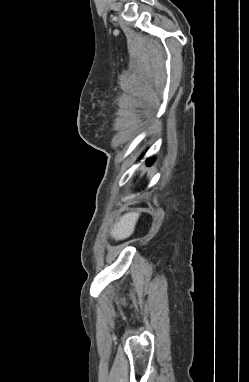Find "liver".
<instances>
[{
  "mask_svg": "<svg viewBox=\"0 0 249 382\" xmlns=\"http://www.w3.org/2000/svg\"><path fill=\"white\" fill-rule=\"evenodd\" d=\"M139 216V212H129L123 215L120 220L114 224L110 233L111 237L116 241L128 238L133 234Z\"/></svg>",
  "mask_w": 249,
  "mask_h": 382,
  "instance_id": "liver-1",
  "label": "liver"
}]
</instances>
